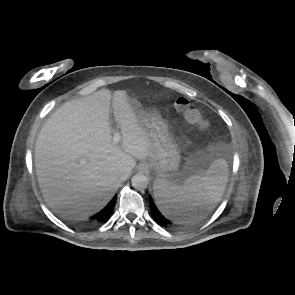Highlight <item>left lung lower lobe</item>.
Here are the masks:
<instances>
[{"label": "left lung lower lobe", "instance_id": "1", "mask_svg": "<svg viewBox=\"0 0 295 295\" xmlns=\"http://www.w3.org/2000/svg\"><path fill=\"white\" fill-rule=\"evenodd\" d=\"M150 209L152 216L157 223L165 227L171 224V222L161 214L152 199H150Z\"/></svg>", "mask_w": 295, "mask_h": 295}]
</instances>
